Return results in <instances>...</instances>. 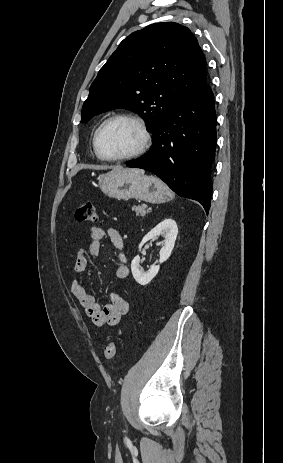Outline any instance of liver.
<instances>
[{"label": "liver", "instance_id": "liver-1", "mask_svg": "<svg viewBox=\"0 0 283 463\" xmlns=\"http://www.w3.org/2000/svg\"><path fill=\"white\" fill-rule=\"evenodd\" d=\"M113 171H116V172L135 171L137 173L144 174V170H141V169H123L121 167H118V168L114 169Z\"/></svg>", "mask_w": 283, "mask_h": 463}]
</instances>
